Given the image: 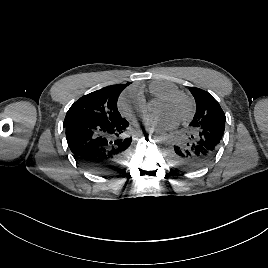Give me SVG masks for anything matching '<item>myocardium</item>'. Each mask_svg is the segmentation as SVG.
I'll return each instance as SVG.
<instances>
[{
  "mask_svg": "<svg viewBox=\"0 0 268 268\" xmlns=\"http://www.w3.org/2000/svg\"><path fill=\"white\" fill-rule=\"evenodd\" d=\"M177 98L184 99L188 104V110L186 114L178 120V123L184 124L191 120L195 112L194 100L189 94L180 90H176L162 96L161 98L158 99V101L168 102Z\"/></svg>",
  "mask_w": 268,
  "mask_h": 268,
  "instance_id": "myocardium-1",
  "label": "myocardium"
}]
</instances>
